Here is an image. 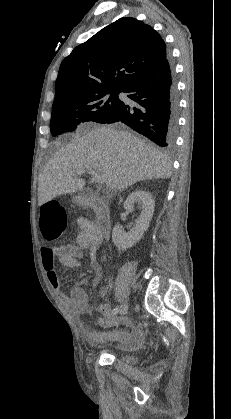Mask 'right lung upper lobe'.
I'll return each instance as SVG.
<instances>
[{
    "mask_svg": "<svg viewBox=\"0 0 231 419\" xmlns=\"http://www.w3.org/2000/svg\"><path fill=\"white\" fill-rule=\"evenodd\" d=\"M167 57L165 42L151 26L120 18L63 60L53 103L105 89L124 90Z\"/></svg>",
    "mask_w": 231,
    "mask_h": 419,
    "instance_id": "right-lung-upper-lobe-1",
    "label": "right lung upper lobe"
}]
</instances>
